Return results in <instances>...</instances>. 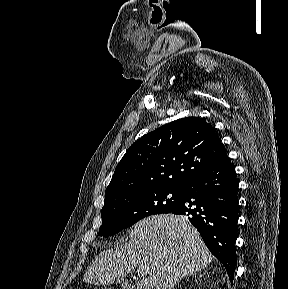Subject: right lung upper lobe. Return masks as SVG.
I'll list each match as a JSON object with an SVG mask.
<instances>
[{"instance_id": "cb5924a9", "label": "right lung upper lobe", "mask_w": 288, "mask_h": 289, "mask_svg": "<svg viewBox=\"0 0 288 289\" xmlns=\"http://www.w3.org/2000/svg\"><path fill=\"white\" fill-rule=\"evenodd\" d=\"M226 153L204 119L186 117L145 134L118 163L105 198L152 188H183Z\"/></svg>"}]
</instances>
